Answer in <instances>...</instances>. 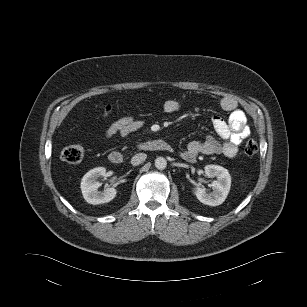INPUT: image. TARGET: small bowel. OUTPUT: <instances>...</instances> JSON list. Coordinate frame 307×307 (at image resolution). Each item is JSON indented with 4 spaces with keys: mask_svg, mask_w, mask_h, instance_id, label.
I'll use <instances>...</instances> for the list:
<instances>
[{
    "mask_svg": "<svg viewBox=\"0 0 307 307\" xmlns=\"http://www.w3.org/2000/svg\"><path fill=\"white\" fill-rule=\"evenodd\" d=\"M219 107L229 112L227 119L220 115L212 117V124L217 137L209 136L203 141H191L182 156L193 161L198 155L222 154L228 158L234 157L238 152L241 142L249 136L250 129L246 123L244 112L239 109L238 102L232 97H222L218 101ZM181 109V103L170 99L163 104V112L171 114ZM112 111V106L108 105L105 109L104 117ZM144 122L135 119L133 116L121 117L111 123L105 130L104 136L107 140H112L119 135L128 138L133 132L140 130Z\"/></svg>",
    "mask_w": 307,
    "mask_h": 307,
    "instance_id": "small-bowel-1",
    "label": "small bowel"
}]
</instances>
